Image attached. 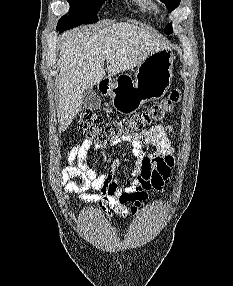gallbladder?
Wrapping results in <instances>:
<instances>
[{
    "label": "gallbladder",
    "mask_w": 233,
    "mask_h": 286,
    "mask_svg": "<svg viewBox=\"0 0 233 286\" xmlns=\"http://www.w3.org/2000/svg\"><path fill=\"white\" fill-rule=\"evenodd\" d=\"M83 106L90 110H97L101 106L100 97L92 87L83 92Z\"/></svg>",
    "instance_id": "1"
}]
</instances>
